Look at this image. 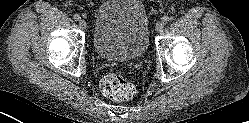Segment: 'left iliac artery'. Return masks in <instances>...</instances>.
Segmentation results:
<instances>
[{
    "label": "left iliac artery",
    "mask_w": 249,
    "mask_h": 123,
    "mask_svg": "<svg viewBox=\"0 0 249 123\" xmlns=\"http://www.w3.org/2000/svg\"><path fill=\"white\" fill-rule=\"evenodd\" d=\"M162 21H163V23L167 24V23H169L170 18H169L168 16H164V17L162 18Z\"/></svg>",
    "instance_id": "obj_1"
}]
</instances>
